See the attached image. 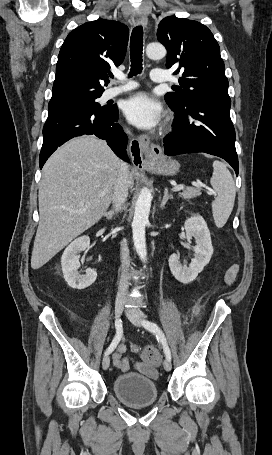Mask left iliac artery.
<instances>
[{
    "label": "left iliac artery",
    "mask_w": 272,
    "mask_h": 455,
    "mask_svg": "<svg viewBox=\"0 0 272 455\" xmlns=\"http://www.w3.org/2000/svg\"><path fill=\"white\" fill-rule=\"evenodd\" d=\"M143 325L147 330H149L150 332H152L156 335L157 340H159L163 345V349H164L166 358L171 360V352H170L169 346L167 344L166 338L164 336V333L162 332L160 327L157 324L150 322V321H143Z\"/></svg>",
    "instance_id": "left-iliac-artery-1"
}]
</instances>
